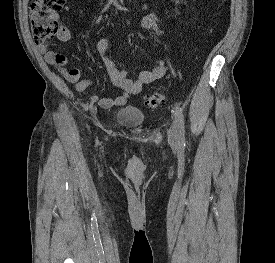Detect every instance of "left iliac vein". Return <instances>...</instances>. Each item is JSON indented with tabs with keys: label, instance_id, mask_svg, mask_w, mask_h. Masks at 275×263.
<instances>
[{
	"label": "left iliac vein",
	"instance_id": "1",
	"mask_svg": "<svg viewBox=\"0 0 275 263\" xmlns=\"http://www.w3.org/2000/svg\"><path fill=\"white\" fill-rule=\"evenodd\" d=\"M168 140L171 144H176L178 141V124L176 119L168 131Z\"/></svg>",
	"mask_w": 275,
	"mask_h": 263
}]
</instances>
